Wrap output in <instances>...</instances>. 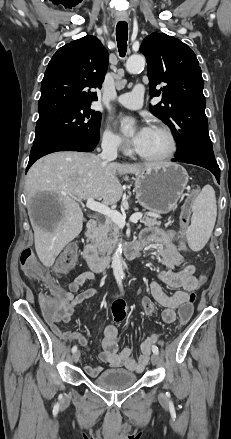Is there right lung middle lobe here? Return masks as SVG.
<instances>
[{
    "mask_svg": "<svg viewBox=\"0 0 231 439\" xmlns=\"http://www.w3.org/2000/svg\"><path fill=\"white\" fill-rule=\"evenodd\" d=\"M101 114L90 106L67 108L39 117L33 145L61 139L99 142Z\"/></svg>",
    "mask_w": 231,
    "mask_h": 439,
    "instance_id": "obj_1",
    "label": "right lung middle lobe"
}]
</instances>
